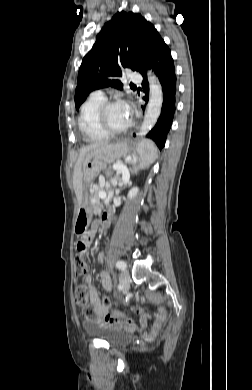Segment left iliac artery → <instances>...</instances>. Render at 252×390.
<instances>
[{
  "instance_id": "44dca946",
  "label": "left iliac artery",
  "mask_w": 252,
  "mask_h": 390,
  "mask_svg": "<svg viewBox=\"0 0 252 390\" xmlns=\"http://www.w3.org/2000/svg\"><path fill=\"white\" fill-rule=\"evenodd\" d=\"M116 267L120 270H124L126 268V263L122 260L116 262Z\"/></svg>"
}]
</instances>
